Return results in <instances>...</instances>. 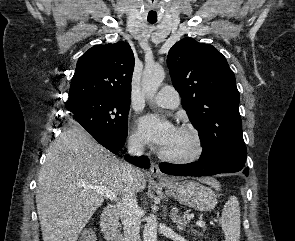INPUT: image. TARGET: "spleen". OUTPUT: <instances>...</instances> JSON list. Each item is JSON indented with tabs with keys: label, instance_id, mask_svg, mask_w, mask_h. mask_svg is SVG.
Instances as JSON below:
<instances>
[{
	"label": "spleen",
	"instance_id": "3e777b00",
	"mask_svg": "<svg viewBox=\"0 0 295 241\" xmlns=\"http://www.w3.org/2000/svg\"><path fill=\"white\" fill-rule=\"evenodd\" d=\"M240 206L238 199L231 196L224 205L221 215V226L225 241H239L240 239Z\"/></svg>",
	"mask_w": 295,
	"mask_h": 241
}]
</instances>
